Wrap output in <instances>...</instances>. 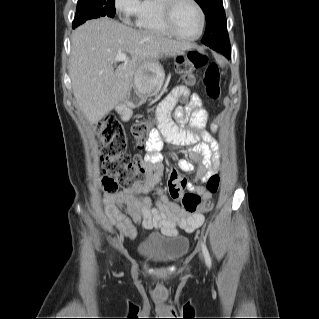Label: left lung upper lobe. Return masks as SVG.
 <instances>
[{
  "label": "left lung upper lobe",
  "instance_id": "1",
  "mask_svg": "<svg viewBox=\"0 0 319 319\" xmlns=\"http://www.w3.org/2000/svg\"><path fill=\"white\" fill-rule=\"evenodd\" d=\"M206 16V30L202 43L222 53L230 48L226 16L222 0H195Z\"/></svg>",
  "mask_w": 319,
  "mask_h": 319
}]
</instances>
